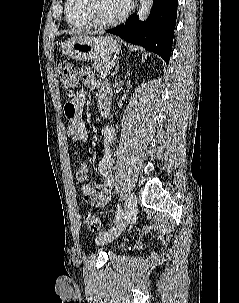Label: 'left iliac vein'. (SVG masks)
<instances>
[{
	"label": "left iliac vein",
	"mask_w": 239,
	"mask_h": 303,
	"mask_svg": "<svg viewBox=\"0 0 239 303\" xmlns=\"http://www.w3.org/2000/svg\"><path fill=\"white\" fill-rule=\"evenodd\" d=\"M137 210V198L132 192L129 194L121 217L107 231L100 233L97 244L104 245L116 239L128 226Z\"/></svg>",
	"instance_id": "4c4485c4"
}]
</instances>
